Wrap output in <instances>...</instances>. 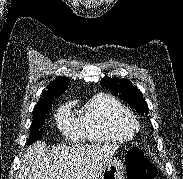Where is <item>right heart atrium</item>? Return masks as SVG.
Returning a JSON list of instances; mask_svg holds the SVG:
<instances>
[{
  "label": "right heart atrium",
  "mask_w": 183,
  "mask_h": 179,
  "mask_svg": "<svg viewBox=\"0 0 183 179\" xmlns=\"http://www.w3.org/2000/svg\"><path fill=\"white\" fill-rule=\"evenodd\" d=\"M57 124L61 131L69 137H76L81 130L79 119L73 115L69 106H63L59 109Z\"/></svg>",
  "instance_id": "d8ad5b80"
}]
</instances>
